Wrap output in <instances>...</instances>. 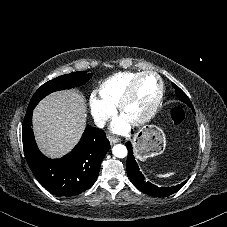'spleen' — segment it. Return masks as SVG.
Segmentation results:
<instances>
[{"label": "spleen", "mask_w": 227, "mask_h": 227, "mask_svg": "<svg viewBox=\"0 0 227 227\" xmlns=\"http://www.w3.org/2000/svg\"><path fill=\"white\" fill-rule=\"evenodd\" d=\"M173 173H166V174H159V177H169L171 176Z\"/></svg>", "instance_id": "3e777b00"}]
</instances>
